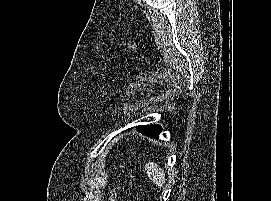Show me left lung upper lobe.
<instances>
[{
  "label": "left lung upper lobe",
  "instance_id": "5c2ea615",
  "mask_svg": "<svg viewBox=\"0 0 271 201\" xmlns=\"http://www.w3.org/2000/svg\"><path fill=\"white\" fill-rule=\"evenodd\" d=\"M136 129L143 135H146L151 138H159V134L162 130L160 125H146V126H137Z\"/></svg>",
  "mask_w": 271,
  "mask_h": 201
}]
</instances>
